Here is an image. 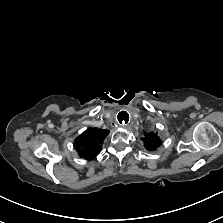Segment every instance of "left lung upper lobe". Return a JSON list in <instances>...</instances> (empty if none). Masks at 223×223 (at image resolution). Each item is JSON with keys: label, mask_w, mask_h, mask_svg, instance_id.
I'll return each instance as SVG.
<instances>
[{"label": "left lung upper lobe", "mask_w": 223, "mask_h": 223, "mask_svg": "<svg viewBox=\"0 0 223 223\" xmlns=\"http://www.w3.org/2000/svg\"><path fill=\"white\" fill-rule=\"evenodd\" d=\"M141 140L144 142L145 148L149 151L156 150L162 144V141L157 136V133L154 132L146 133L145 137Z\"/></svg>", "instance_id": "5c2ea615"}]
</instances>
